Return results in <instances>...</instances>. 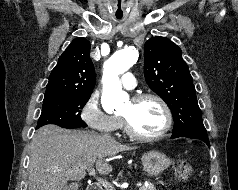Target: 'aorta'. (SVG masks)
<instances>
[{"mask_svg":"<svg viewBox=\"0 0 238 190\" xmlns=\"http://www.w3.org/2000/svg\"><path fill=\"white\" fill-rule=\"evenodd\" d=\"M137 59L138 51L134 47H127L116 51L104 64L101 103L107 113L117 110L128 100L127 93L122 90L119 75L130 69Z\"/></svg>","mask_w":238,"mask_h":190,"instance_id":"obj_1","label":"aorta"}]
</instances>
